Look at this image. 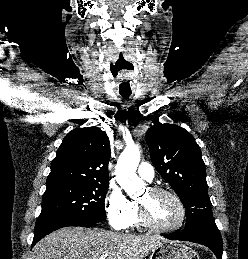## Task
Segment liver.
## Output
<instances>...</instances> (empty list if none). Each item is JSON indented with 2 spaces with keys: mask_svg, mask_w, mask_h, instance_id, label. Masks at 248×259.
Wrapping results in <instances>:
<instances>
[{
  "mask_svg": "<svg viewBox=\"0 0 248 259\" xmlns=\"http://www.w3.org/2000/svg\"><path fill=\"white\" fill-rule=\"evenodd\" d=\"M159 236L120 234L100 229L65 227L38 242L31 259H144L162 243Z\"/></svg>",
  "mask_w": 248,
  "mask_h": 259,
  "instance_id": "1",
  "label": "liver"
}]
</instances>
